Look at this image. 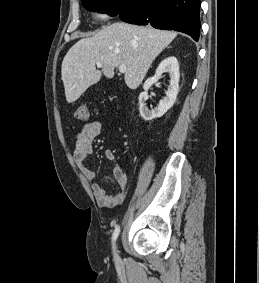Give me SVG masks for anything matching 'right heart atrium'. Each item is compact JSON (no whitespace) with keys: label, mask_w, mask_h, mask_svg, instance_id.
Listing matches in <instances>:
<instances>
[{"label":"right heart atrium","mask_w":259,"mask_h":283,"mask_svg":"<svg viewBox=\"0 0 259 283\" xmlns=\"http://www.w3.org/2000/svg\"><path fill=\"white\" fill-rule=\"evenodd\" d=\"M97 16L102 20H107L110 17V13L107 10H100L97 12Z\"/></svg>","instance_id":"obj_1"}]
</instances>
